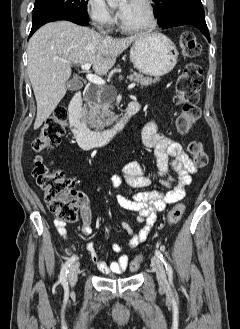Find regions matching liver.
<instances>
[{
  "label": "liver",
  "mask_w": 240,
  "mask_h": 329,
  "mask_svg": "<svg viewBox=\"0 0 240 329\" xmlns=\"http://www.w3.org/2000/svg\"><path fill=\"white\" fill-rule=\"evenodd\" d=\"M137 38L113 39L67 21L48 23L37 30L28 43L27 66L37 103L34 129L49 118L65 96L70 63H89L96 74L104 75Z\"/></svg>",
  "instance_id": "1"
}]
</instances>
